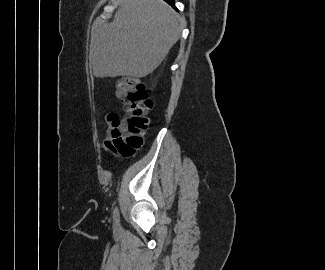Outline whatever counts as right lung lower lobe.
<instances>
[{"instance_id": "obj_1", "label": "right lung lower lobe", "mask_w": 325, "mask_h": 270, "mask_svg": "<svg viewBox=\"0 0 325 270\" xmlns=\"http://www.w3.org/2000/svg\"><path fill=\"white\" fill-rule=\"evenodd\" d=\"M167 3H169L170 5L174 6V0H165Z\"/></svg>"}]
</instances>
